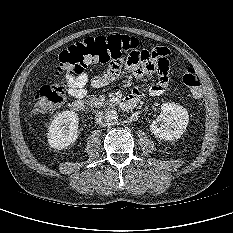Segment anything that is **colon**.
<instances>
[{
	"label": "colon",
	"instance_id": "colon-1",
	"mask_svg": "<svg viewBox=\"0 0 233 233\" xmlns=\"http://www.w3.org/2000/svg\"><path fill=\"white\" fill-rule=\"evenodd\" d=\"M137 48H140L138 39L127 35L92 37L69 46L59 55V66L53 83L42 86L36 92L33 112L60 105L65 100L69 78L83 73L90 64L120 60L128 51ZM181 79L195 98L202 96L201 80L193 69H186Z\"/></svg>",
	"mask_w": 233,
	"mask_h": 233
}]
</instances>
